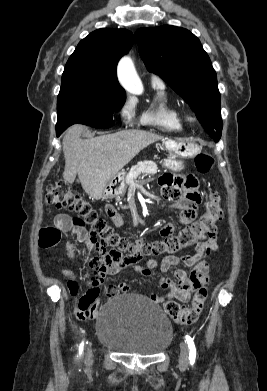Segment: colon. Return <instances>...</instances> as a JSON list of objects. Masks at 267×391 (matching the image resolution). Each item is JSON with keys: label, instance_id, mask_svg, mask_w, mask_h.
Here are the masks:
<instances>
[{"label": "colon", "instance_id": "colon-1", "mask_svg": "<svg viewBox=\"0 0 267 391\" xmlns=\"http://www.w3.org/2000/svg\"><path fill=\"white\" fill-rule=\"evenodd\" d=\"M214 158L209 152H201L195 157V166L199 173H208L213 168ZM45 203L56 209H68L78 214L77 220L91 226L89 246L98 254L110 251L129 252L128 261L136 263L143 256H173L178 252L199 244L217 232V222L223 216L221 198L218 193L210 194L200 217L186 225L178 234L163 237L151 242H130L116 233L107 221L92 207L89 201L77 191L71 189L64 181H57L48 186ZM60 240V231L47 227L40 232V245L51 247ZM208 297V287L203 285L197 289L189 306L185 307L175 301H167L164 309L176 323L191 325L195 323Z\"/></svg>", "mask_w": 267, "mask_h": 391}]
</instances>
